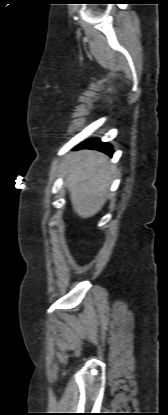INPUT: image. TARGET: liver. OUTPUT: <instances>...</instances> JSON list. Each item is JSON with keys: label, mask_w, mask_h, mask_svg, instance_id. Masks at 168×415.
<instances>
[{"label": "liver", "mask_w": 168, "mask_h": 415, "mask_svg": "<svg viewBox=\"0 0 168 415\" xmlns=\"http://www.w3.org/2000/svg\"><path fill=\"white\" fill-rule=\"evenodd\" d=\"M114 171L108 157L97 151L83 150L67 156L66 186L78 216L90 218L102 209Z\"/></svg>", "instance_id": "6515ba94"}]
</instances>
